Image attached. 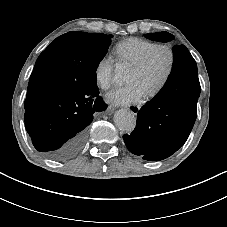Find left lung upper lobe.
Listing matches in <instances>:
<instances>
[{
	"instance_id": "5c2ea615",
	"label": "left lung upper lobe",
	"mask_w": 227,
	"mask_h": 227,
	"mask_svg": "<svg viewBox=\"0 0 227 227\" xmlns=\"http://www.w3.org/2000/svg\"><path fill=\"white\" fill-rule=\"evenodd\" d=\"M146 37L151 40L164 42V43L171 41L174 38L173 35L168 32L150 33V34H146Z\"/></svg>"
}]
</instances>
